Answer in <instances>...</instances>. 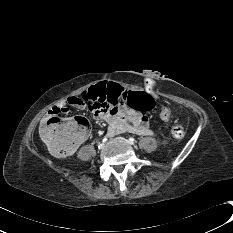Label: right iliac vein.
Wrapping results in <instances>:
<instances>
[{
  "label": "right iliac vein",
  "instance_id": "63e3f726",
  "mask_svg": "<svg viewBox=\"0 0 233 233\" xmlns=\"http://www.w3.org/2000/svg\"><path fill=\"white\" fill-rule=\"evenodd\" d=\"M98 148H99V149H103V148H104V143L99 144V145H98Z\"/></svg>",
  "mask_w": 233,
  "mask_h": 233
}]
</instances>
